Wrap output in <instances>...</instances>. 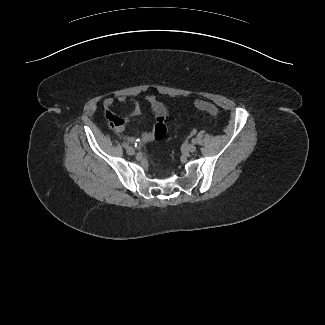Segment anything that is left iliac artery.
I'll use <instances>...</instances> for the list:
<instances>
[{"instance_id":"obj_1","label":"left iliac artery","mask_w":325,"mask_h":325,"mask_svg":"<svg viewBox=\"0 0 325 325\" xmlns=\"http://www.w3.org/2000/svg\"><path fill=\"white\" fill-rule=\"evenodd\" d=\"M192 143L196 144V139H192Z\"/></svg>"}]
</instances>
